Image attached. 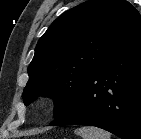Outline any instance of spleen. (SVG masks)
Returning a JSON list of instances; mask_svg holds the SVG:
<instances>
[{"instance_id": "obj_1", "label": "spleen", "mask_w": 141, "mask_h": 139, "mask_svg": "<svg viewBox=\"0 0 141 139\" xmlns=\"http://www.w3.org/2000/svg\"><path fill=\"white\" fill-rule=\"evenodd\" d=\"M75 133L82 139H111V134L93 126L81 127L75 130Z\"/></svg>"}]
</instances>
